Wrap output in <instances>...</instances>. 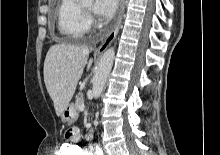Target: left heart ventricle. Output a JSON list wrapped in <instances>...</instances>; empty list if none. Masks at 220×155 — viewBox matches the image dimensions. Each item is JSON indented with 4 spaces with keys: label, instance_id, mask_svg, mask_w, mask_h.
I'll list each match as a JSON object with an SVG mask.
<instances>
[{
    "label": "left heart ventricle",
    "instance_id": "obj_1",
    "mask_svg": "<svg viewBox=\"0 0 220 155\" xmlns=\"http://www.w3.org/2000/svg\"><path fill=\"white\" fill-rule=\"evenodd\" d=\"M82 6L85 8V9H88L90 10L92 8V2H84L82 4Z\"/></svg>",
    "mask_w": 220,
    "mask_h": 155
}]
</instances>
